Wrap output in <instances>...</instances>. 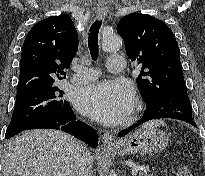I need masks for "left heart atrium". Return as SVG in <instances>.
<instances>
[{
    "label": "left heart atrium",
    "mask_w": 205,
    "mask_h": 176,
    "mask_svg": "<svg viewBox=\"0 0 205 176\" xmlns=\"http://www.w3.org/2000/svg\"><path fill=\"white\" fill-rule=\"evenodd\" d=\"M77 109L97 121L114 124L132 111L135 95L123 81H101L81 88L75 98Z\"/></svg>",
    "instance_id": "1"
}]
</instances>
